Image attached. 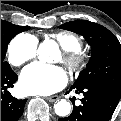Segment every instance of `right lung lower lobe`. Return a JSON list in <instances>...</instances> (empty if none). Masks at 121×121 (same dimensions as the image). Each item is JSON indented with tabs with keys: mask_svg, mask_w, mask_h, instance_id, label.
<instances>
[{
	"mask_svg": "<svg viewBox=\"0 0 121 121\" xmlns=\"http://www.w3.org/2000/svg\"><path fill=\"white\" fill-rule=\"evenodd\" d=\"M17 78L10 67H1V121H17L24 111L26 100H18L7 91Z\"/></svg>",
	"mask_w": 121,
	"mask_h": 121,
	"instance_id": "98d812e1",
	"label": "right lung lower lobe"
}]
</instances>
